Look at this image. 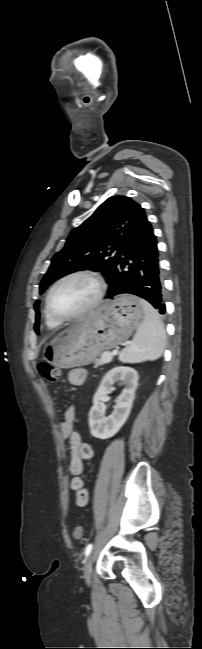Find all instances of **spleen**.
<instances>
[{
  "mask_svg": "<svg viewBox=\"0 0 202 649\" xmlns=\"http://www.w3.org/2000/svg\"><path fill=\"white\" fill-rule=\"evenodd\" d=\"M144 319L137 328L129 346L119 354L123 363H139L158 359L165 348V330L159 313L145 300H142Z\"/></svg>",
  "mask_w": 202,
  "mask_h": 649,
  "instance_id": "3e777b00",
  "label": "spleen"
}]
</instances>
